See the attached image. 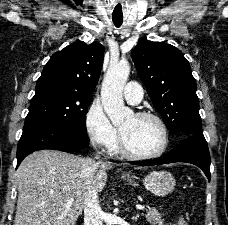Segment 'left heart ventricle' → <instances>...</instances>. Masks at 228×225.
<instances>
[{"instance_id": "1", "label": "left heart ventricle", "mask_w": 228, "mask_h": 225, "mask_svg": "<svg viewBox=\"0 0 228 225\" xmlns=\"http://www.w3.org/2000/svg\"><path fill=\"white\" fill-rule=\"evenodd\" d=\"M128 146L142 154H153L163 145L164 135L160 125L152 119L129 118L121 127Z\"/></svg>"}]
</instances>
